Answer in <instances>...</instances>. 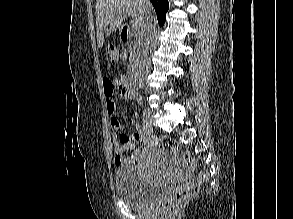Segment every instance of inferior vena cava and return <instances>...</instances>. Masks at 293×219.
<instances>
[{"label": "inferior vena cava", "instance_id": "1", "mask_svg": "<svg viewBox=\"0 0 293 219\" xmlns=\"http://www.w3.org/2000/svg\"><path fill=\"white\" fill-rule=\"evenodd\" d=\"M144 3L147 7H151V3L149 0H144ZM152 30V21L149 17L146 19V23L144 25V29L140 35V43H139V63L136 74L143 78L149 71L150 68V59L148 56L149 51V43L151 37Z\"/></svg>", "mask_w": 293, "mask_h": 219}]
</instances>
